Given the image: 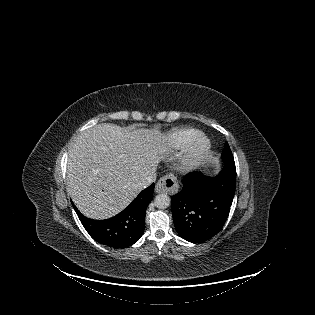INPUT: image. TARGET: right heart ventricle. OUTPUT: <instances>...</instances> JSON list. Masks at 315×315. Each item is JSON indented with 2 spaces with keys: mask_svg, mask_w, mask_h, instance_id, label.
<instances>
[{
  "mask_svg": "<svg viewBox=\"0 0 315 315\" xmlns=\"http://www.w3.org/2000/svg\"><path fill=\"white\" fill-rule=\"evenodd\" d=\"M200 132L193 128H175L167 133L165 144L175 150L186 147Z\"/></svg>",
  "mask_w": 315,
  "mask_h": 315,
  "instance_id": "e07e8e85",
  "label": "right heart ventricle"
}]
</instances>
